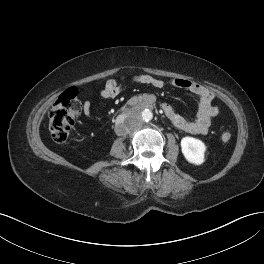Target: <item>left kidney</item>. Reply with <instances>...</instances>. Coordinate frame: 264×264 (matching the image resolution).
Listing matches in <instances>:
<instances>
[{
  "instance_id": "obj_1",
  "label": "left kidney",
  "mask_w": 264,
  "mask_h": 264,
  "mask_svg": "<svg viewBox=\"0 0 264 264\" xmlns=\"http://www.w3.org/2000/svg\"><path fill=\"white\" fill-rule=\"evenodd\" d=\"M181 150L189 163L195 165L204 163L206 146L201 140L193 137H184L181 140Z\"/></svg>"
}]
</instances>
